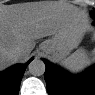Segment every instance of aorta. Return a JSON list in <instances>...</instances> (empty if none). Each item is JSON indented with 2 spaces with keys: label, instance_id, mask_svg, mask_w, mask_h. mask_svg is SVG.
I'll return each mask as SVG.
<instances>
[{
  "label": "aorta",
  "instance_id": "aorta-1",
  "mask_svg": "<svg viewBox=\"0 0 95 95\" xmlns=\"http://www.w3.org/2000/svg\"><path fill=\"white\" fill-rule=\"evenodd\" d=\"M28 68L31 75L41 76L44 74L46 66L42 60L34 59L33 61L30 62Z\"/></svg>",
  "mask_w": 95,
  "mask_h": 95
}]
</instances>
